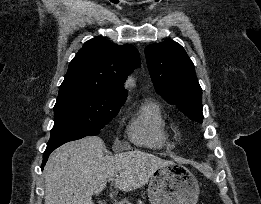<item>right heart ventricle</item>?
I'll return each instance as SVG.
<instances>
[{
	"label": "right heart ventricle",
	"instance_id": "obj_1",
	"mask_svg": "<svg viewBox=\"0 0 261 204\" xmlns=\"http://www.w3.org/2000/svg\"><path fill=\"white\" fill-rule=\"evenodd\" d=\"M127 133L136 145L149 148L165 146L170 132L161 106L150 100L143 102L130 119Z\"/></svg>",
	"mask_w": 261,
	"mask_h": 204
}]
</instances>
